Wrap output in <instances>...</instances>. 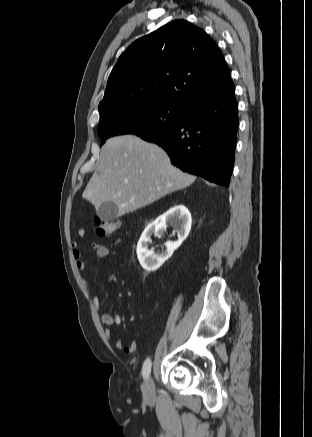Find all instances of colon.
Here are the masks:
<instances>
[{"label":"colon","mask_w":312,"mask_h":437,"mask_svg":"<svg viewBox=\"0 0 312 437\" xmlns=\"http://www.w3.org/2000/svg\"><path fill=\"white\" fill-rule=\"evenodd\" d=\"M96 232L105 236L114 233L120 227L119 220H107L101 217L95 218Z\"/></svg>","instance_id":"colon-1"}]
</instances>
